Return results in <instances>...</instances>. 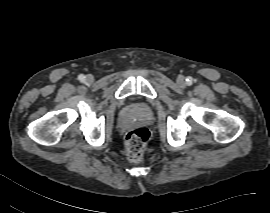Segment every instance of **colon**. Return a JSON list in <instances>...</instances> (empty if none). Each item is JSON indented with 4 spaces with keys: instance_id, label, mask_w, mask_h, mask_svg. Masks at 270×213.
Instances as JSON below:
<instances>
[{
    "instance_id": "5ec220e1",
    "label": "colon",
    "mask_w": 270,
    "mask_h": 213,
    "mask_svg": "<svg viewBox=\"0 0 270 213\" xmlns=\"http://www.w3.org/2000/svg\"><path fill=\"white\" fill-rule=\"evenodd\" d=\"M149 141V132L146 128H136L126 135V154L131 162H138L144 155Z\"/></svg>"
}]
</instances>
